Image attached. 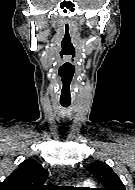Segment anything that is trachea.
<instances>
[{
	"mask_svg": "<svg viewBox=\"0 0 135 190\" xmlns=\"http://www.w3.org/2000/svg\"><path fill=\"white\" fill-rule=\"evenodd\" d=\"M61 105H62L64 108H67V107H69L70 103H61Z\"/></svg>",
	"mask_w": 135,
	"mask_h": 190,
	"instance_id": "trachea-1",
	"label": "trachea"
}]
</instances>
